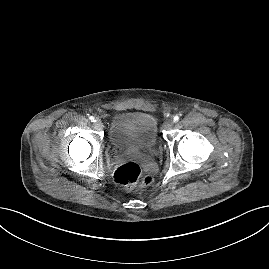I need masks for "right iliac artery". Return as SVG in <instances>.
<instances>
[{
	"label": "right iliac artery",
	"mask_w": 269,
	"mask_h": 269,
	"mask_svg": "<svg viewBox=\"0 0 269 269\" xmlns=\"http://www.w3.org/2000/svg\"><path fill=\"white\" fill-rule=\"evenodd\" d=\"M89 119L94 122L95 121V118L93 116H90Z\"/></svg>",
	"instance_id": "right-iliac-artery-1"
}]
</instances>
